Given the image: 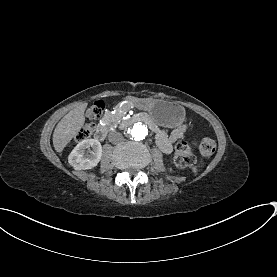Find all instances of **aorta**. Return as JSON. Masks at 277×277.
<instances>
[{"instance_id":"1","label":"aorta","mask_w":277,"mask_h":277,"mask_svg":"<svg viewBox=\"0 0 277 277\" xmlns=\"http://www.w3.org/2000/svg\"><path fill=\"white\" fill-rule=\"evenodd\" d=\"M127 134L132 139L140 141L148 135V128L142 123H135L127 129Z\"/></svg>"}]
</instances>
